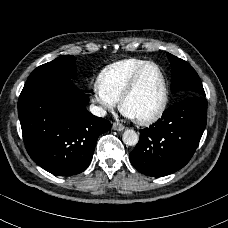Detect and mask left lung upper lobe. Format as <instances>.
Masks as SVG:
<instances>
[{
	"label": "left lung upper lobe",
	"mask_w": 228,
	"mask_h": 228,
	"mask_svg": "<svg viewBox=\"0 0 228 228\" xmlns=\"http://www.w3.org/2000/svg\"><path fill=\"white\" fill-rule=\"evenodd\" d=\"M172 65L171 91H186L187 96H204L205 92L196 71L186 61L167 53Z\"/></svg>",
	"instance_id": "left-lung-upper-lobe-1"
}]
</instances>
